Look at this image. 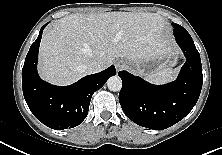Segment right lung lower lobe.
Returning <instances> with one entry per match:
<instances>
[{
  "label": "right lung lower lobe",
  "instance_id": "obj_1",
  "mask_svg": "<svg viewBox=\"0 0 222 155\" xmlns=\"http://www.w3.org/2000/svg\"><path fill=\"white\" fill-rule=\"evenodd\" d=\"M45 26L31 45L22 69L24 98L34 116L47 127L56 130L73 128L86 118L93 93L115 75L116 70L112 65L66 87L54 86L43 81L37 73V59Z\"/></svg>",
  "mask_w": 222,
  "mask_h": 155
}]
</instances>
